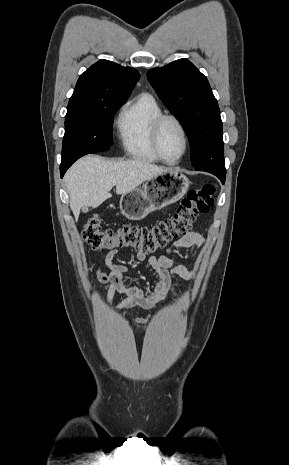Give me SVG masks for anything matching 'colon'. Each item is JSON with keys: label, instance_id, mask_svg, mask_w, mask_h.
Here are the masks:
<instances>
[{"label": "colon", "instance_id": "5ec220e1", "mask_svg": "<svg viewBox=\"0 0 289 465\" xmlns=\"http://www.w3.org/2000/svg\"><path fill=\"white\" fill-rule=\"evenodd\" d=\"M215 193L212 184L190 190L172 216L150 227L124 225L118 229H103L100 217L93 215L83 227L82 239L94 250L128 248L144 254L155 253L171 240L186 234L197 217L213 206Z\"/></svg>", "mask_w": 289, "mask_h": 465}]
</instances>
